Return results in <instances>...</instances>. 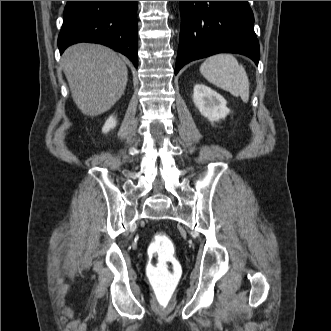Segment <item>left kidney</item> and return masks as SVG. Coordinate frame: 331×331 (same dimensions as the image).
Segmentation results:
<instances>
[{"label":"left kidney","instance_id":"5707ae66","mask_svg":"<svg viewBox=\"0 0 331 331\" xmlns=\"http://www.w3.org/2000/svg\"><path fill=\"white\" fill-rule=\"evenodd\" d=\"M193 101L200 113L211 122L224 119L229 114L227 101L204 84L194 86Z\"/></svg>","mask_w":331,"mask_h":331}]
</instances>
